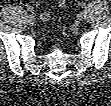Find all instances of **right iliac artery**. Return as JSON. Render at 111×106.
<instances>
[{
    "mask_svg": "<svg viewBox=\"0 0 111 106\" xmlns=\"http://www.w3.org/2000/svg\"><path fill=\"white\" fill-rule=\"evenodd\" d=\"M30 13H33V8L32 7H28L27 9Z\"/></svg>",
    "mask_w": 111,
    "mask_h": 106,
    "instance_id": "1",
    "label": "right iliac artery"
}]
</instances>
